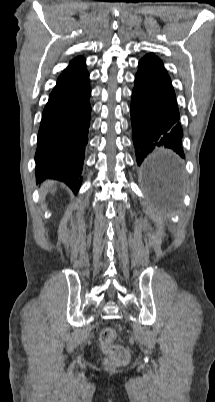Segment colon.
Here are the masks:
<instances>
[{
    "label": "colon",
    "instance_id": "colon-1",
    "mask_svg": "<svg viewBox=\"0 0 215 402\" xmlns=\"http://www.w3.org/2000/svg\"><path fill=\"white\" fill-rule=\"evenodd\" d=\"M117 332L114 328H105L100 335L102 350L107 355V363L113 366H121L129 359L128 351L115 343Z\"/></svg>",
    "mask_w": 215,
    "mask_h": 402
}]
</instances>
